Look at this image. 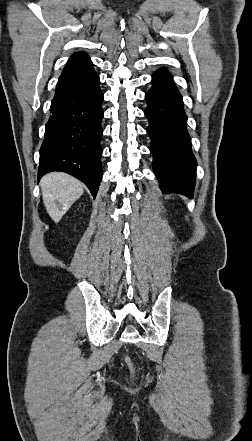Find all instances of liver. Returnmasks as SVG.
Returning <instances> with one entry per match:
<instances>
[{"mask_svg": "<svg viewBox=\"0 0 252 441\" xmlns=\"http://www.w3.org/2000/svg\"><path fill=\"white\" fill-rule=\"evenodd\" d=\"M40 186L47 213L55 223L61 220L84 192L83 184L78 179L63 172L45 175Z\"/></svg>", "mask_w": 252, "mask_h": 441, "instance_id": "1", "label": "liver"}]
</instances>
